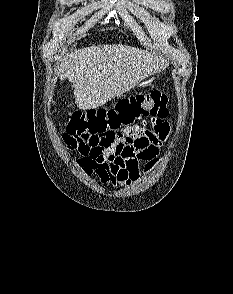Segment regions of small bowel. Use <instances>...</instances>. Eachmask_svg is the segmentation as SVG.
<instances>
[{"instance_id":"obj_1","label":"small bowel","mask_w":233,"mask_h":294,"mask_svg":"<svg viewBox=\"0 0 233 294\" xmlns=\"http://www.w3.org/2000/svg\"><path fill=\"white\" fill-rule=\"evenodd\" d=\"M130 131L125 132V137H132L133 142L122 149H105L101 156L93 158L81 157L78 164L83 172L113 186L136 181L142 161L146 162L144 171L149 172L158 161V149L169 135V125L163 117H142L135 126H130Z\"/></svg>"}]
</instances>
